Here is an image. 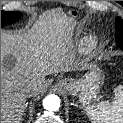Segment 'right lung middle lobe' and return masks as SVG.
<instances>
[{
    "mask_svg": "<svg viewBox=\"0 0 123 123\" xmlns=\"http://www.w3.org/2000/svg\"><path fill=\"white\" fill-rule=\"evenodd\" d=\"M22 17L20 12L1 11V27L17 22Z\"/></svg>",
    "mask_w": 123,
    "mask_h": 123,
    "instance_id": "1",
    "label": "right lung middle lobe"
}]
</instances>
